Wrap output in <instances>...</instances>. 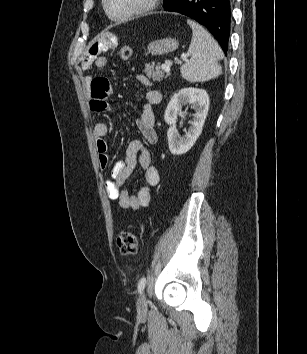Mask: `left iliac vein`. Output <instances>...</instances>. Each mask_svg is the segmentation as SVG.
<instances>
[{
    "label": "left iliac vein",
    "mask_w": 307,
    "mask_h": 354,
    "mask_svg": "<svg viewBox=\"0 0 307 354\" xmlns=\"http://www.w3.org/2000/svg\"><path fill=\"white\" fill-rule=\"evenodd\" d=\"M138 312L141 315H145L147 312V298L145 293H141L138 300Z\"/></svg>",
    "instance_id": "left-iliac-vein-1"
}]
</instances>
